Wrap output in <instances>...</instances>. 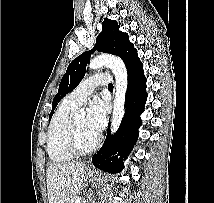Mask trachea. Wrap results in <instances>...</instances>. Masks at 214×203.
<instances>
[{
  "instance_id": "trachea-1",
  "label": "trachea",
  "mask_w": 214,
  "mask_h": 203,
  "mask_svg": "<svg viewBox=\"0 0 214 203\" xmlns=\"http://www.w3.org/2000/svg\"><path fill=\"white\" fill-rule=\"evenodd\" d=\"M108 88H113V84L110 83V84L108 85Z\"/></svg>"
}]
</instances>
